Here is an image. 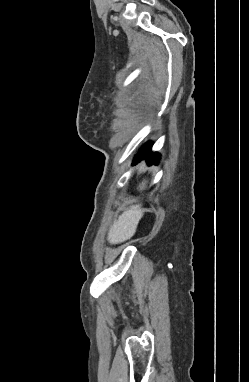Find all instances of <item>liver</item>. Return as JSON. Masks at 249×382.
<instances>
[{
    "label": "liver",
    "mask_w": 249,
    "mask_h": 382,
    "mask_svg": "<svg viewBox=\"0 0 249 382\" xmlns=\"http://www.w3.org/2000/svg\"><path fill=\"white\" fill-rule=\"evenodd\" d=\"M142 169L143 165L139 171ZM145 187L146 182H142L139 188L143 190ZM143 213L144 211L141 209V205L131 206L128 210L124 211L111 226L107 240L111 244H119L130 239L135 234Z\"/></svg>",
    "instance_id": "liver-1"
}]
</instances>
